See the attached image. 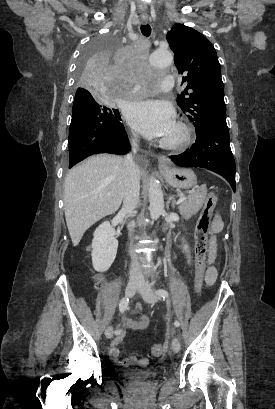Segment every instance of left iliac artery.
Segmentation results:
<instances>
[{
	"label": "left iliac artery",
	"mask_w": 275,
	"mask_h": 409,
	"mask_svg": "<svg viewBox=\"0 0 275 409\" xmlns=\"http://www.w3.org/2000/svg\"><path fill=\"white\" fill-rule=\"evenodd\" d=\"M154 282H152V284H153ZM156 294L158 295V296H160V297H162L163 299H165V298H168V296H169V293H168V291L166 290V289H158L157 291H156ZM174 325H175V327H179V322L177 321V320H175L174 321Z\"/></svg>",
	"instance_id": "obj_1"
}]
</instances>
